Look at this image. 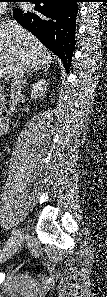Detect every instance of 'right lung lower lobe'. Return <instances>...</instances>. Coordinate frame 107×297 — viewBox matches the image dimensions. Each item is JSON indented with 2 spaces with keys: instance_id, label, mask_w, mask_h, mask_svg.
I'll return each mask as SVG.
<instances>
[{
  "instance_id": "98d812e1",
  "label": "right lung lower lobe",
  "mask_w": 107,
  "mask_h": 297,
  "mask_svg": "<svg viewBox=\"0 0 107 297\" xmlns=\"http://www.w3.org/2000/svg\"><path fill=\"white\" fill-rule=\"evenodd\" d=\"M32 12L15 9V20L56 55L64 68L70 67L74 49L76 15L75 0H37Z\"/></svg>"
}]
</instances>
